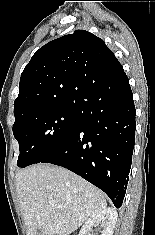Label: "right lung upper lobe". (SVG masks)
<instances>
[{
	"label": "right lung upper lobe",
	"instance_id": "obj_1",
	"mask_svg": "<svg viewBox=\"0 0 155 235\" xmlns=\"http://www.w3.org/2000/svg\"><path fill=\"white\" fill-rule=\"evenodd\" d=\"M122 65L104 41L77 30L41 47L24 68L15 118L23 112L55 105L78 107L95 86L116 78Z\"/></svg>",
	"mask_w": 155,
	"mask_h": 235
}]
</instances>
